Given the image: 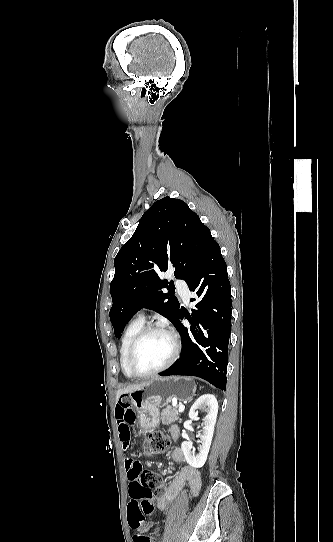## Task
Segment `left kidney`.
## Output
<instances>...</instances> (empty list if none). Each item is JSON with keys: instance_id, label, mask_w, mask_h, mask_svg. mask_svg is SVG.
I'll return each mask as SVG.
<instances>
[{"instance_id": "obj_1", "label": "left kidney", "mask_w": 333, "mask_h": 542, "mask_svg": "<svg viewBox=\"0 0 333 542\" xmlns=\"http://www.w3.org/2000/svg\"><path fill=\"white\" fill-rule=\"evenodd\" d=\"M199 408H206L207 412L202 424L203 436H199L201 442L198 448L199 454L195 456L194 452H191L192 446L190 442H182L181 444L185 460L187 464H189V466H192V468H202L209 454L214 434V426L216 424V418L218 414V402L215 396H213V394H204V396H200V398H198V400H196V402H194L193 406H191L190 408V420H198V418H196L195 412L196 410H199Z\"/></svg>"}]
</instances>
